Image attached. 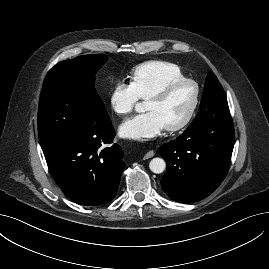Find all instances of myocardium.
Wrapping results in <instances>:
<instances>
[{"mask_svg":"<svg viewBox=\"0 0 269 269\" xmlns=\"http://www.w3.org/2000/svg\"><path fill=\"white\" fill-rule=\"evenodd\" d=\"M184 84H190L194 87L193 102L188 113L186 114V116L183 118L182 121L174 125L166 126V130L171 131V132L183 130L191 123L192 119L194 118L197 108L199 106V102H200L199 84L195 80L190 79V78H182V79L173 80L165 84L162 88L155 91L147 98V101L162 100L166 98L172 92V90H174L176 87L184 85Z\"/></svg>","mask_w":269,"mask_h":269,"instance_id":"myocardium-1","label":"myocardium"}]
</instances>
